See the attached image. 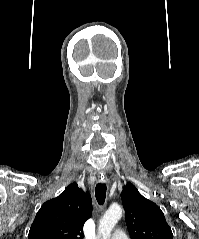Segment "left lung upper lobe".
<instances>
[{"instance_id":"left-lung-upper-lobe-1","label":"left lung upper lobe","mask_w":199,"mask_h":239,"mask_svg":"<svg viewBox=\"0 0 199 239\" xmlns=\"http://www.w3.org/2000/svg\"><path fill=\"white\" fill-rule=\"evenodd\" d=\"M121 199L131 239H173L161 209L144 198L132 183L123 188Z\"/></svg>"}]
</instances>
